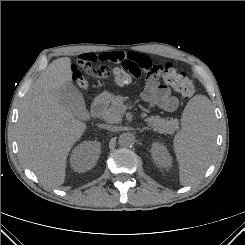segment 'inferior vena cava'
Listing matches in <instances>:
<instances>
[{"label":"inferior vena cava","mask_w":245,"mask_h":245,"mask_svg":"<svg viewBox=\"0 0 245 245\" xmlns=\"http://www.w3.org/2000/svg\"><path fill=\"white\" fill-rule=\"evenodd\" d=\"M104 128L107 129V130H110L112 132L117 131V127L114 126V125H106V126H104Z\"/></svg>","instance_id":"inferior-vena-cava-1"}]
</instances>
